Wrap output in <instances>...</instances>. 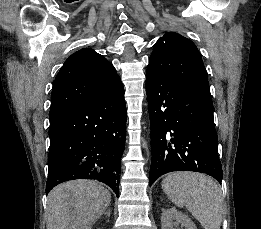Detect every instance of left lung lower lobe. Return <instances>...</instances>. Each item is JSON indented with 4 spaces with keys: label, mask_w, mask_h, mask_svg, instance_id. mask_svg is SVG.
<instances>
[{
    "label": "left lung lower lobe",
    "mask_w": 261,
    "mask_h": 229,
    "mask_svg": "<svg viewBox=\"0 0 261 229\" xmlns=\"http://www.w3.org/2000/svg\"><path fill=\"white\" fill-rule=\"evenodd\" d=\"M151 186L173 171L201 172L222 181L213 104L208 85L147 70Z\"/></svg>",
    "instance_id": "0a47b994"
}]
</instances>
